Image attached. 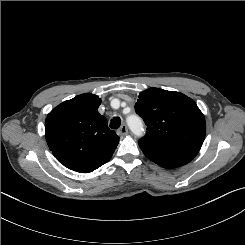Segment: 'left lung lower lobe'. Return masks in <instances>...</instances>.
I'll list each match as a JSON object with an SVG mask.
<instances>
[{"label": "left lung lower lobe", "instance_id": "1", "mask_svg": "<svg viewBox=\"0 0 245 245\" xmlns=\"http://www.w3.org/2000/svg\"><path fill=\"white\" fill-rule=\"evenodd\" d=\"M138 144L147 158L167 169L183 166L193 159L191 156L163 149L144 140H140Z\"/></svg>", "mask_w": 245, "mask_h": 245}]
</instances>
